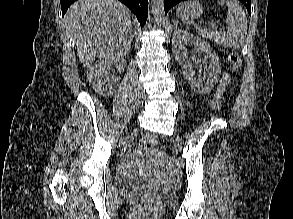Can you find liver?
I'll list each match as a JSON object with an SVG mask.
<instances>
[{
  "label": "liver",
  "mask_w": 293,
  "mask_h": 219,
  "mask_svg": "<svg viewBox=\"0 0 293 219\" xmlns=\"http://www.w3.org/2000/svg\"><path fill=\"white\" fill-rule=\"evenodd\" d=\"M84 67L96 57H119L131 49L129 9L116 0H78L65 15Z\"/></svg>",
  "instance_id": "1"
}]
</instances>
